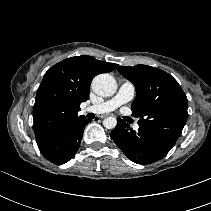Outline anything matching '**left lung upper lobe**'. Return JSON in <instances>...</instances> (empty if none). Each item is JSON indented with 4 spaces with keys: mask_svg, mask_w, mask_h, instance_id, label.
I'll use <instances>...</instances> for the list:
<instances>
[{
    "mask_svg": "<svg viewBox=\"0 0 211 211\" xmlns=\"http://www.w3.org/2000/svg\"><path fill=\"white\" fill-rule=\"evenodd\" d=\"M118 71L136 88L131 110L139 127L174 146L188 117V100L178 82L167 72L147 66H120Z\"/></svg>",
    "mask_w": 211,
    "mask_h": 211,
    "instance_id": "5c2ea615",
    "label": "left lung upper lobe"
}]
</instances>
